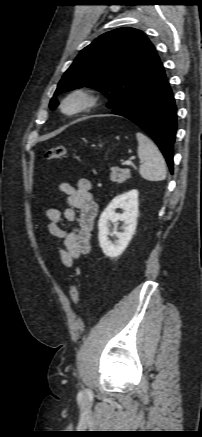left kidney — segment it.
<instances>
[{
	"mask_svg": "<svg viewBox=\"0 0 202 437\" xmlns=\"http://www.w3.org/2000/svg\"><path fill=\"white\" fill-rule=\"evenodd\" d=\"M138 191L131 190L116 196L101 214L98 223V239L103 253L111 258L120 256L132 239L138 218ZM117 208L123 210L122 214L115 212ZM118 221H122V232L117 231ZM113 224V230L110 228ZM109 236H115L112 242Z\"/></svg>",
	"mask_w": 202,
	"mask_h": 437,
	"instance_id": "5707ae66",
	"label": "left kidney"
}]
</instances>
